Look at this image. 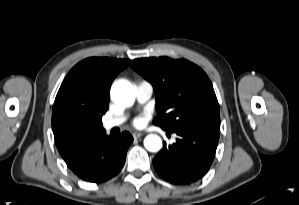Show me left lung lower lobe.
Masks as SVG:
<instances>
[{
    "label": "left lung lower lobe",
    "instance_id": "obj_1",
    "mask_svg": "<svg viewBox=\"0 0 299 205\" xmlns=\"http://www.w3.org/2000/svg\"><path fill=\"white\" fill-rule=\"evenodd\" d=\"M168 132L177 134L178 138L172 145L166 146L165 143L153 159L157 174L176 185H187L202 178L214 160L220 124L180 128Z\"/></svg>",
    "mask_w": 299,
    "mask_h": 205
}]
</instances>
